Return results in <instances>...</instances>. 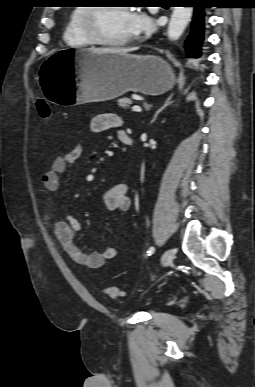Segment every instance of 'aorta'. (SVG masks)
I'll use <instances>...</instances> for the list:
<instances>
[{"label":"aorta","instance_id":"1","mask_svg":"<svg viewBox=\"0 0 255 387\" xmlns=\"http://www.w3.org/2000/svg\"><path fill=\"white\" fill-rule=\"evenodd\" d=\"M192 12V7H174L167 30L169 40L175 41L180 38L191 19Z\"/></svg>","mask_w":255,"mask_h":387}]
</instances>
